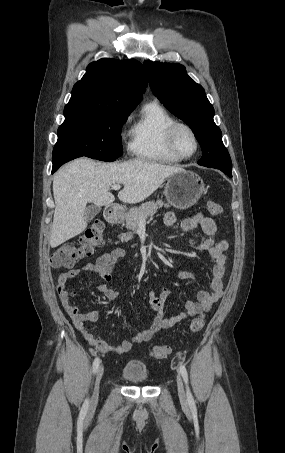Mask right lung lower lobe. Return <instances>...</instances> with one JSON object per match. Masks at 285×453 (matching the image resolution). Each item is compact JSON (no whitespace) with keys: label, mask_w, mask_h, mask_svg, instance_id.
Returning a JSON list of instances; mask_svg holds the SVG:
<instances>
[{"label":"right lung lower lobe","mask_w":285,"mask_h":453,"mask_svg":"<svg viewBox=\"0 0 285 453\" xmlns=\"http://www.w3.org/2000/svg\"><path fill=\"white\" fill-rule=\"evenodd\" d=\"M78 157V154L75 150L65 147H59L55 145L53 150V168L52 173H54L62 164L75 159Z\"/></svg>","instance_id":"right-lung-lower-lobe-1"}]
</instances>
